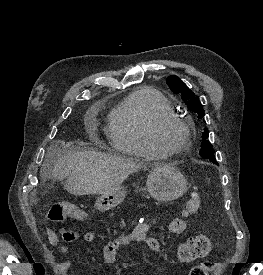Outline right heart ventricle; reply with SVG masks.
Here are the masks:
<instances>
[{"mask_svg": "<svg viewBox=\"0 0 263 275\" xmlns=\"http://www.w3.org/2000/svg\"><path fill=\"white\" fill-rule=\"evenodd\" d=\"M163 113H174L173 106L159 91L142 88L131 92L110 114L108 137L118 152L147 159L162 156L150 144L148 131Z\"/></svg>", "mask_w": 263, "mask_h": 275, "instance_id": "1", "label": "right heart ventricle"}]
</instances>
